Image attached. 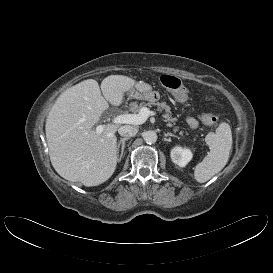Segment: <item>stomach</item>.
<instances>
[{
  "instance_id": "1",
  "label": "stomach",
  "mask_w": 273,
  "mask_h": 273,
  "mask_svg": "<svg viewBox=\"0 0 273 273\" xmlns=\"http://www.w3.org/2000/svg\"><path fill=\"white\" fill-rule=\"evenodd\" d=\"M136 89L137 91H131V97L147 100L150 102H154L156 100V93L152 91V88L148 84L139 83Z\"/></svg>"
}]
</instances>
